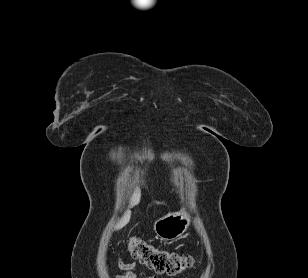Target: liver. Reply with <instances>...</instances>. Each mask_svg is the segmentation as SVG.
Here are the masks:
<instances>
[{"mask_svg": "<svg viewBox=\"0 0 308 278\" xmlns=\"http://www.w3.org/2000/svg\"><path fill=\"white\" fill-rule=\"evenodd\" d=\"M140 198H141V191L139 188H136V190L134 191L131 199H130V207H134L136 205L139 204L140 202ZM131 217V211L128 209L123 217L118 221V223L115 226L116 230L121 229L122 227H124L130 220Z\"/></svg>", "mask_w": 308, "mask_h": 278, "instance_id": "obj_1", "label": "liver"}]
</instances>
